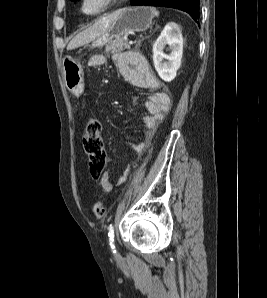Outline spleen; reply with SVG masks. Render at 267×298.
Instances as JSON below:
<instances>
[{
    "instance_id": "3e777b00",
    "label": "spleen",
    "mask_w": 267,
    "mask_h": 298,
    "mask_svg": "<svg viewBox=\"0 0 267 298\" xmlns=\"http://www.w3.org/2000/svg\"><path fill=\"white\" fill-rule=\"evenodd\" d=\"M151 11L155 16H159V12L155 8H151Z\"/></svg>"
}]
</instances>
